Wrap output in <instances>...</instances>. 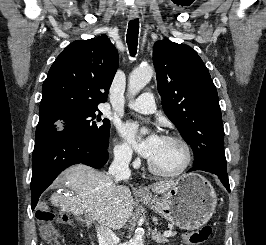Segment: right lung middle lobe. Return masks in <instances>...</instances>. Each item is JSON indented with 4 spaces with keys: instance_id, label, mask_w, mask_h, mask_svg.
Here are the masks:
<instances>
[{
    "instance_id": "1",
    "label": "right lung middle lobe",
    "mask_w": 266,
    "mask_h": 245,
    "mask_svg": "<svg viewBox=\"0 0 266 245\" xmlns=\"http://www.w3.org/2000/svg\"><path fill=\"white\" fill-rule=\"evenodd\" d=\"M98 108L78 109L63 112L52 118L39 121L35 140L57 132L79 136L102 148H108L110 123L96 114Z\"/></svg>"
}]
</instances>
